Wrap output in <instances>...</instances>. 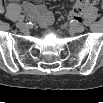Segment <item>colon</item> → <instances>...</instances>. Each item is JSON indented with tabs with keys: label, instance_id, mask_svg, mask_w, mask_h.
<instances>
[{
	"label": "colon",
	"instance_id": "5ec220e1",
	"mask_svg": "<svg viewBox=\"0 0 103 103\" xmlns=\"http://www.w3.org/2000/svg\"><path fill=\"white\" fill-rule=\"evenodd\" d=\"M93 3H94V1H88V0H86V1L85 0L84 1H77L75 3V5L73 6V8H72V11H71L72 16L74 18H79L81 16L82 11L84 10V8L86 6H88L89 4H93Z\"/></svg>",
	"mask_w": 103,
	"mask_h": 103
}]
</instances>
